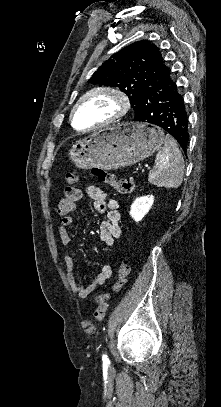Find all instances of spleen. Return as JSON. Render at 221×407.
Masks as SVG:
<instances>
[{
  "instance_id": "3e777b00",
  "label": "spleen",
  "mask_w": 221,
  "mask_h": 407,
  "mask_svg": "<svg viewBox=\"0 0 221 407\" xmlns=\"http://www.w3.org/2000/svg\"><path fill=\"white\" fill-rule=\"evenodd\" d=\"M164 146L156 155V166L149 172L148 181L158 187L178 188L183 180L184 159L176 141L166 135Z\"/></svg>"
}]
</instances>
